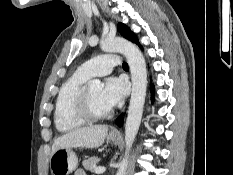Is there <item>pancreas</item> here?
<instances>
[{
    "instance_id": "pancreas-1",
    "label": "pancreas",
    "mask_w": 233,
    "mask_h": 175,
    "mask_svg": "<svg viewBox=\"0 0 233 175\" xmlns=\"http://www.w3.org/2000/svg\"><path fill=\"white\" fill-rule=\"evenodd\" d=\"M99 161L100 159L98 157L93 156V157L88 158L87 160H84L82 164L86 170L93 172L96 169V163Z\"/></svg>"
}]
</instances>
